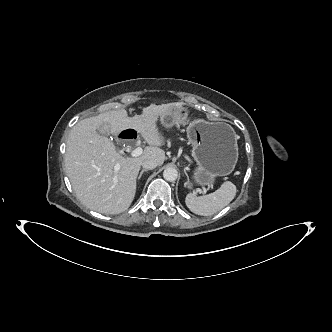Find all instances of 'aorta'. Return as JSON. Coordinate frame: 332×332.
<instances>
[{
    "mask_svg": "<svg viewBox=\"0 0 332 332\" xmlns=\"http://www.w3.org/2000/svg\"><path fill=\"white\" fill-rule=\"evenodd\" d=\"M163 177L166 181L174 182L178 177V172L175 168H166L163 171Z\"/></svg>",
    "mask_w": 332,
    "mask_h": 332,
    "instance_id": "obj_1",
    "label": "aorta"
}]
</instances>
